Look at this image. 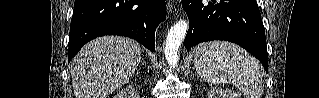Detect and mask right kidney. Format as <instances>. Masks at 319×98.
I'll return each instance as SVG.
<instances>
[{
	"label": "right kidney",
	"instance_id": "ca27d5eb",
	"mask_svg": "<svg viewBox=\"0 0 319 98\" xmlns=\"http://www.w3.org/2000/svg\"><path fill=\"white\" fill-rule=\"evenodd\" d=\"M131 94L132 95H135V97L137 98L138 96L136 95L135 91L134 90H131ZM124 95H119L118 98H123Z\"/></svg>",
	"mask_w": 319,
	"mask_h": 98
}]
</instances>
